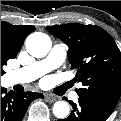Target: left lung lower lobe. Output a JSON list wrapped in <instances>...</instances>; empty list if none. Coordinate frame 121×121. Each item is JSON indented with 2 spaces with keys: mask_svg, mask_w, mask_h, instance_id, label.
<instances>
[{
  "mask_svg": "<svg viewBox=\"0 0 121 121\" xmlns=\"http://www.w3.org/2000/svg\"><path fill=\"white\" fill-rule=\"evenodd\" d=\"M69 102L73 106V111L66 119L58 121H105L111 114L82 98H79L78 104Z\"/></svg>",
  "mask_w": 121,
  "mask_h": 121,
  "instance_id": "left-lung-lower-lobe-1",
  "label": "left lung lower lobe"
}]
</instances>
